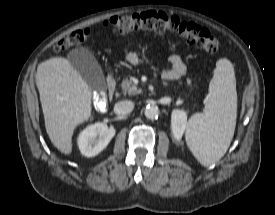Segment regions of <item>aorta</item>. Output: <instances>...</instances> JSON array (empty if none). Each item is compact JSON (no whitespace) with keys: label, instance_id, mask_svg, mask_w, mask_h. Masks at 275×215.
Segmentation results:
<instances>
[{"label":"aorta","instance_id":"obj_1","mask_svg":"<svg viewBox=\"0 0 275 215\" xmlns=\"http://www.w3.org/2000/svg\"><path fill=\"white\" fill-rule=\"evenodd\" d=\"M145 116L148 118V119H156L158 118V115H159V109L157 106H153V105H149L145 108Z\"/></svg>","mask_w":275,"mask_h":215}]
</instances>
